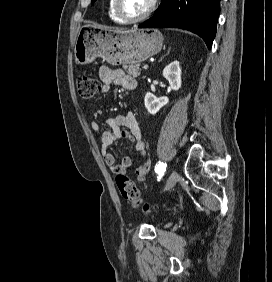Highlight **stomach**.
I'll return each instance as SVG.
<instances>
[{"mask_svg": "<svg viewBox=\"0 0 272 282\" xmlns=\"http://www.w3.org/2000/svg\"><path fill=\"white\" fill-rule=\"evenodd\" d=\"M162 45V34L154 29L85 25L76 39L74 59L79 65L91 63L97 57L112 65L137 64L157 54Z\"/></svg>", "mask_w": 272, "mask_h": 282, "instance_id": "obj_1", "label": "stomach"}]
</instances>
